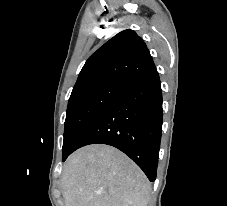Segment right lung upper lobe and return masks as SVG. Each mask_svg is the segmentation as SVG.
<instances>
[{
    "label": "right lung upper lobe",
    "mask_w": 227,
    "mask_h": 206,
    "mask_svg": "<svg viewBox=\"0 0 227 206\" xmlns=\"http://www.w3.org/2000/svg\"><path fill=\"white\" fill-rule=\"evenodd\" d=\"M154 67L144 41L135 31L127 29L115 35L88 58L72 92L102 80L128 82Z\"/></svg>",
    "instance_id": "1"
}]
</instances>
